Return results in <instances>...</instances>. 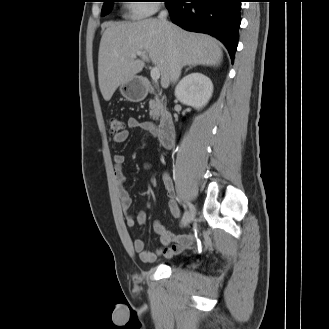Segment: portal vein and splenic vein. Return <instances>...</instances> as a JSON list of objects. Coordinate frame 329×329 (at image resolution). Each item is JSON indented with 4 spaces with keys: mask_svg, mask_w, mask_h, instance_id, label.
Listing matches in <instances>:
<instances>
[{
    "mask_svg": "<svg viewBox=\"0 0 329 329\" xmlns=\"http://www.w3.org/2000/svg\"><path fill=\"white\" fill-rule=\"evenodd\" d=\"M137 56H140L143 60L149 62V57L145 53L138 52ZM150 75L154 81H157L160 78V71L158 67H153L150 71Z\"/></svg>",
    "mask_w": 329,
    "mask_h": 329,
    "instance_id": "1",
    "label": "portal vein and splenic vein"
}]
</instances>
